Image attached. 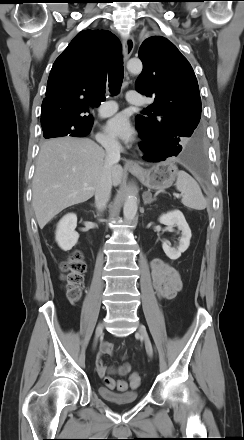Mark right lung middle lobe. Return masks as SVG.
<instances>
[{"label":"right lung middle lobe","mask_w":244,"mask_h":440,"mask_svg":"<svg viewBox=\"0 0 244 440\" xmlns=\"http://www.w3.org/2000/svg\"><path fill=\"white\" fill-rule=\"evenodd\" d=\"M92 123L83 126H75L71 123L59 120H46L41 122L44 138H54L62 136L84 137L92 127Z\"/></svg>","instance_id":"right-lung-middle-lobe-1"}]
</instances>
